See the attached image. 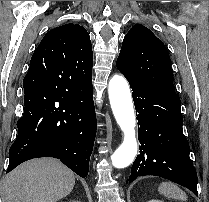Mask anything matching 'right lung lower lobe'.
Wrapping results in <instances>:
<instances>
[{
	"mask_svg": "<svg viewBox=\"0 0 209 202\" xmlns=\"http://www.w3.org/2000/svg\"><path fill=\"white\" fill-rule=\"evenodd\" d=\"M23 87L24 113L7 172L26 160L52 156L86 177L96 135L92 83L62 86L49 72L29 68Z\"/></svg>",
	"mask_w": 209,
	"mask_h": 202,
	"instance_id": "right-lung-lower-lobe-1",
	"label": "right lung lower lobe"
}]
</instances>
